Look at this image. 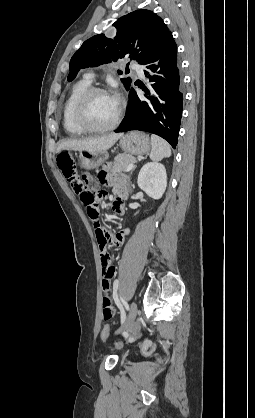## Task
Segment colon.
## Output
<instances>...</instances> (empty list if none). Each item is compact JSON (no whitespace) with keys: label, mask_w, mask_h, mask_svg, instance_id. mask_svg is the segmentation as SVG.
Segmentation results:
<instances>
[{"label":"colon","mask_w":255,"mask_h":418,"mask_svg":"<svg viewBox=\"0 0 255 418\" xmlns=\"http://www.w3.org/2000/svg\"><path fill=\"white\" fill-rule=\"evenodd\" d=\"M57 163L64 177L69 182L72 190L77 195H79L81 202L85 205L87 214L93 222L96 236L99 234L102 235L100 233V230L102 229V227L98 221V217H99L98 202H99V199L103 196V194L93 192L94 184H93L92 178L89 175L85 174L83 176H80L78 174L74 159L69 153L67 152L61 153L58 157ZM99 178H100V175H99ZM108 334H109V328L107 326H104L101 332L102 338L104 340L107 339ZM135 337H136L135 335H130L129 339H133ZM116 346L120 347L121 342H118Z\"/></svg>","instance_id":"1"}]
</instances>
